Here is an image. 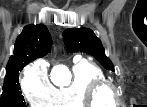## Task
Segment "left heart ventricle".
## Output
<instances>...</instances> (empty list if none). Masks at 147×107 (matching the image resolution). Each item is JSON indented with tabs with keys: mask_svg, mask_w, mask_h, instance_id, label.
<instances>
[{
	"mask_svg": "<svg viewBox=\"0 0 147 107\" xmlns=\"http://www.w3.org/2000/svg\"><path fill=\"white\" fill-rule=\"evenodd\" d=\"M97 101L100 105H111L112 93L109 90H102L97 96Z\"/></svg>",
	"mask_w": 147,
	"mask_h": 107,
	"instance_id": "left-heart-ventricle-1",
	"label": "left heart ventricle"
}]
</instances>
